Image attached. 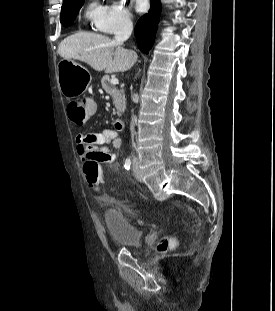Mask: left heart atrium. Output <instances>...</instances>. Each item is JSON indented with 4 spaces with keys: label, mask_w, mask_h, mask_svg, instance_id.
<instances>
[{
    "label": "left heart atrium",
    "mask_w": 275,
    "mask_h": 311,
    "mask_svg": "<svg viewBox=\"0 0 275 311\" xmlns=\"http://www.w3.org/2000/svg\"><path fill=\"white\" fill-rule=\"evenodd\" d=\"M135 8L138 12H143L147 8V0H135Z\"/></svg>",
    "instance_id": "1"
}]
</instances>
